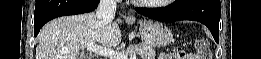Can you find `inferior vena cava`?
Listing matches in <instances>:
<instances>
[{"label":"inferior vena cava","instance_id":"obj_1","mask_svg":"<svg viewBox=\"0 0 261 59\" xmlns=\"http://www.w3.org/2000/svg\"><path fill=\"white\" fill-rule=\"evenodd\" d=\"M115 12L116 0H100L96 16L99 20L110 21L114 18Z\"/></svg>","mask_w":261,"mask_h":59}]
</instances>
